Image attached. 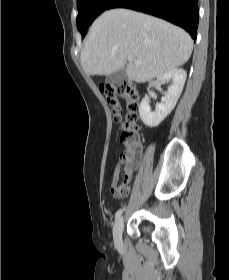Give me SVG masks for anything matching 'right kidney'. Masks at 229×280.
I'll return each instance as SVG.
<instances>
[{
    "instance_id": "right-kidney-1",
    "label": "right kidney",
    "mask_w": 229,
    "mask_h": 280,
    "mask_svg": "<svg viewBox=\"0 0 229 280\" xmlns=\"http://www.w3.org/2000/svg\"><path fill=\"white\" fill-rule=\"evenodd\" d=\"M187 73L183 69H173L157 77V82L172 81L168 90L161 98V102L156 104L155 111H151L149 98L142 99L139 106V114L143 123L148 127L158 126L174 109L185 84ZM151 87V84L149 85Z\"/></svg>"
}]
</instances>
